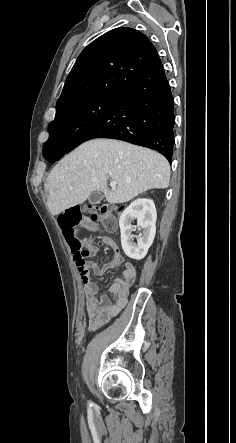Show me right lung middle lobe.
<instances>
[{"label":"right lung middle lobe","mask_w":236,"mask_h":443,"mask_svg":"<svg viewBox=\"0 0 236 443\" xmlns=\"http://www.w3.org/2000/svg\"><path fill=\"white\" fill-rule=\"evenodd\" d=\"M115 96L98 94L56 113L55 119L49 124V139L43 149L51 146L67 147L81 131V127L100 114Z\"/></svg>","instance_id":"1"}]
</instances>
